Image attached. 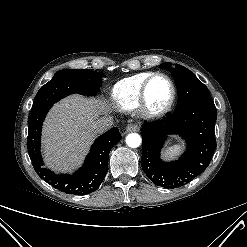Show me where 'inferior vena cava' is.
I'll list each match as a JSON object with an SVG mask.
<instances>
[{
    "mask_svg": "<svg viewBox=\"0 0 247 247\" xmlns=\"http://www.w3.org/2000/svg\"><path fill=\"white\" fill-rule=\"evenodd\" d=\"M113 124L112 117H101L94 121L91 125V129L93 132L97 134H101L107 131Z\"/></svg>",
    "mask_w": 247,
    "mask_h": 247,
    "instance_id": "602c4592",
    "label": "inferior vena cava"
}]
</instances>
